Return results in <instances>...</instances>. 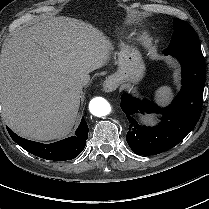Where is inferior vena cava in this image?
Wrapping results in <instances>:
<instances>
[{"instance_id": "obj_1", "label": "inferior vena cava", "mask_w": 209, "mask_h": 209, "mask_svg": "<svg viewBox=\"0 0 209 209\" xmlns=\"http://www.w3.org/2000/svg\"><path fill=\"white\" fill-rule=\"evenodd\" d=\"M84 86V83L82 81H78L75 83V89L81 92L82 88Z\"/></svg>"}]
</instances>
